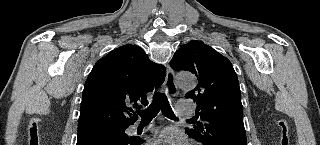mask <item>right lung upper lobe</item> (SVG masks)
<instances>
[{
  "label": "right lung upper lobe",
  "instance_id": "1",
  "mask_svg": "<svg viewBox=\"0 0 320 145\" xmlns=\"http://www.w3.org/2000/svg\"><path fill=\"white\" fill-rule=\"evenodd\" d=\"M165 74V67L152 62L139 46L127 44L108 53L86 80L78 133L133 124L137 116H131L129 106L147 105L146 93L161 85Z\"/></svg>",
  "mask_w": 320,
  "mask_h": 145
}]
</instances>
